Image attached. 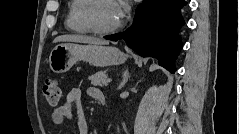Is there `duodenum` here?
Listing matches in <instances>:
<instances>
[{
	"label": "duodenum",
	"instance_id": "duodenum-1",
	"mask_svg": "<svg viewBox=\"0 0 239 134\" xmlns=\"http://www.w3.org/2000/svg\"><path fill=\"white\" fill-rule=\"evenodd\" d=\"M101 102H102L103 104L106 103V98H105V96H103V97L101 98Z\"/></svg>",
	"mask_w": 239,
	"mask_h": 134
}]
</instances>
